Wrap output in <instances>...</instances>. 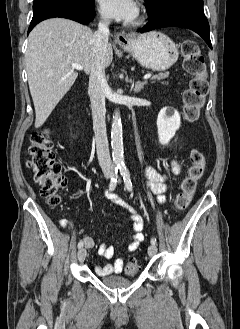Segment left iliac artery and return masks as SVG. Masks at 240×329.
Wrapping results in <instances>:
<instances>
[{"label":"left iliac artery","instance_id":"obj_1","mask_svg":"<svg viewBox=\"0 0 240 329\" xmlns=\"http://www.w3.org/2000/svg\"><path fill=\"white\" fill-rule=\"evenodd\" d=\"M120 173L123 177L125 186L127 188L128 191H132V182H131V178H130V173L127 169V167L125 165H121L120 166ZM151 244L155 245L156 244V238H152L151 239Z\"/></svg>","mask_w":240,"mask_h":329}]
</instances>
